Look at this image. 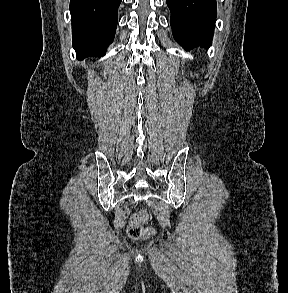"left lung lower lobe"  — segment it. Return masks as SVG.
Wrapping results in <instances>:
<instances>
[{
  "instance_id": "0a47b994",
  "label": "left lung lower lobe",
  "mask_w": 288,
  "mask_h": 293,
  "mask_svg": "<svg viewBox=\"0 0 288 293\" xmlns=\"http://www.w3.org/2000/svg\"><path fill=\"white\" fill-rule=\"evenodd\" d=\"M174 39L186 50L209 48L216 19V0H166Z\"/></svg>"
}]
</instances>
